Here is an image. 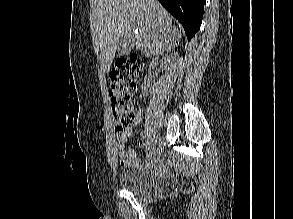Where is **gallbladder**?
<instances>
[{"label":"gallbladder","mask_w":293,"mask_h":219,"mask_svg":"<svg viewBox=\"0 0 293 219\" xmlns=\"http://www.w3.org/2000/svg\"><path fill=\"white\" fill-rule=\"evenodd\" d=\"M134 47V37L132 35L121 37L119 43H118V55L119 56H125L130 53V51Z\"/></svg>","instance_id":"1"}]
</instances>
